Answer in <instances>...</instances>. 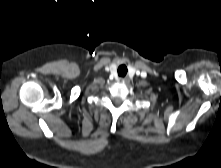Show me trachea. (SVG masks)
I'll list each match as a JSON object with an SVG mask.
<instances>
[{"label": "trachea", "instance_id": "3493384b", "mask_svg": "<svg viewBox=\"0 0 221 168\" xmlns=\"http://www.w3.org/2000/svg\"><path fill=\"white\" fill-rule=\"evenodd\" d=\"M127 67L125 66V65H120L119 67H118V75L120 76V77H124L126 74H127Z\"/></svg>", "mask_w": 221, "mask_h": 168}]
</instances>
